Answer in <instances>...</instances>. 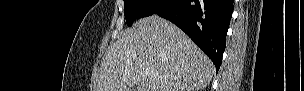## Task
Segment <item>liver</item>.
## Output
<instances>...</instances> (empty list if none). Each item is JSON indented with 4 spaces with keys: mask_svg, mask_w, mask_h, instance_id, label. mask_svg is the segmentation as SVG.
Here are the masks:
<instances>
[{
    "mask_svg": "<svg viewBox=\"0 0 304 91\" xmlns=\"http://www.w3.org/2000/svg\"><path fill=\"white\" fill-rule=\"evenodd\" d=\"M214 70L180 28L154 15L140 19L107 49L96 91H200Z\"/></svg>",
    "mask_w": 304,
    "mask_h": 91,
    "instance_id": "1",
    "label": "liver"
}]
</instances>
